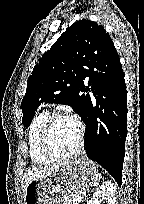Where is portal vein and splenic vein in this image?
<instances>
[{"label":"portal vein and splenic vein","instance_id":"18ae733b","mask_svg":"<svg viewBox=\"0 0 144 204\" xmlns=\"http://www.w3.org/2000/svg\"><path fill=\"white\" fill-rule=\"evenodd\" d=\"M80 201H81V197H78L77 200H76L77 204H78Z\"/></svg>","mask_w":144,"mask_h":204}]
</instances>
